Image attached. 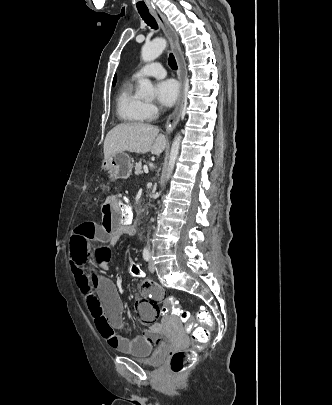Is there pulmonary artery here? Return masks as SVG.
Wrapping results in <instances>:
<instances>
[{"label": "pulmonary artery", "instance_id": "obj_1", "mask_svg": "<svg viewBox=\"0 0 332 405\" xmlns=\"http://www.w3.org/2000/svg\"><path fill=\"white\" fill-rule=\"evenodd\" d=\"M166 75V71L160 63H151L148 64L139 70H137L133 77L135 79L144 77V76H151L156 78H161Z\"/></svg>", "mask_w": 332, "mask_h": 405}]
</instances>
